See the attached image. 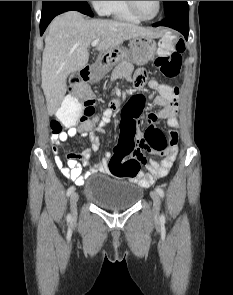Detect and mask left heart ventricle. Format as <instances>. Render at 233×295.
Segmentation results:
<instances>
[{"instance_id": "obj_1", "label": "left heart ventricle", "mask_w": 233, "mask_h": 295, "mask_svg": "<svg viewBox=\"0 0 233 295\" xmlns=\"http://www.w3.org/2000/svg\"><path fill=\"white\" fill-rule=\"evenodd\" d=\"M139 14L143 17H152L157 11V1H135Z\"/></svg>"}]
</instances>
